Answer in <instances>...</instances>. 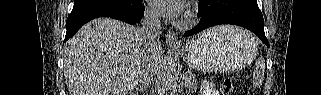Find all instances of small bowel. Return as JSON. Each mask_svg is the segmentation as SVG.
I'll return each instance as SVG.
<instances>
[{
  "mask_svg": "<svg viewBox=\"0 0 321 95\" xmlns=\"http://www.w3.org/2000/svg\"><path fill=\"white\" fill-rule=\"evenodd\" d=\"M202 94L203 95H214V94H216V91L212 87L206 85L203 87Z\"/></svg>",
  "mask_w": 321,
  "mask_h": 95,
  "instance_id": "1",
  "label": "small bowel"
}]
</instances>
